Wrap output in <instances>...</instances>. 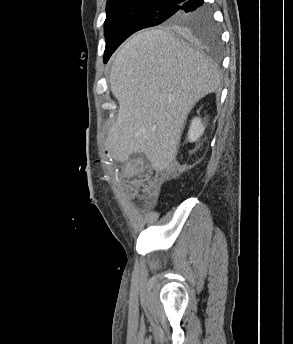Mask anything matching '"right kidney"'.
<instances>
[{
    "instance_id": "right-kidney-1",
    "label": "right kidney",
    "mask_w": 293,
    "mask_h": 344,
    "mask_svg": "<svg viewBox=\"0 0 293 344\" xmlns=\"http://www.w3.org/2000/svg\"><path fill=\"white\" fill-rule=\"evenodd\" d=\"M205 130L204 125L202 124V121L200 118H194L191 121L190 128L188 131V140L190 142H195L197 141L201 135L203 134Z\"/></svg>"
}]
</instances>
